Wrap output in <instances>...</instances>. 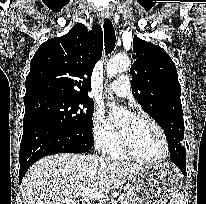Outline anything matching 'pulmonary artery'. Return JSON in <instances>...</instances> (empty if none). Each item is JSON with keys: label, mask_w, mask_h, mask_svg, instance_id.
I'll return each mask as SVG.
<instances>
[{"label": "pulmonary artery", "mask_w": 206, "mask_h": 204, "mask_svg": "<svg viewBox=\"0 0 206 204\" xmlns=\"http://www.w3.org/2000/svg\"><path fill=\"white\" fill-rule=\"evenodd\" d=\"M108 89L110 92L121 97L131 96V84L129 78L126 75H122L112 82Z\"/></svg>", "instance_id": "e3ab8cb5"}]
</instances>
